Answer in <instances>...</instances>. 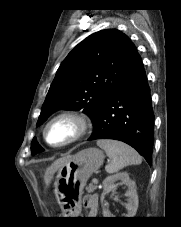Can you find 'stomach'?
<instances>
[{
    "label": "stomach",
    "mask_w": 181,
    "mask_h": 227,
    "mask_svg": "<svg viewBox=\"0 0 181 227\" xmlns=\"http://www.w3.org/2000/svg\"><path fill=\"white\" fill-rule=\"evenodd\" d=\"M104 153L87 148L58 169L54 180V194L65 217L76 215L81 208V197L87 180L104 162Z\"/></svg>",
    "instance_id": "obj_1"
}]
</instances>
